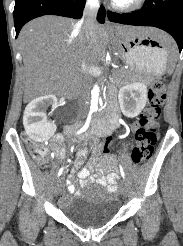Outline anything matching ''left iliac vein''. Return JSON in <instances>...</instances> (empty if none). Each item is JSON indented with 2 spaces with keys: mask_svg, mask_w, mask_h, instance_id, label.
Here are the masks:
<instances>
[{
  "mask_svg": "<svg viewBox=\"0 0 183 246\" xmlns=\"http://www.w3.org/2000/svg\"><path fill=\"white\" fill-rule=\"evenodd\" d=\"M121 191H122L123 196L126 198L128 196V187L126 183H123Z\"/></svg>",
  "mask_w": 183,
  "mask_h": 246,
  "instance_id": "1",
  "label": "left iliac vein"
}]
</instances>
